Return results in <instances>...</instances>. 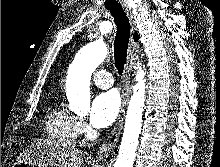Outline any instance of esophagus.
<instances>
[{"label":"esophagus","mask_w":220,"mask_h":167,"mask_svg":"<svg viewBox=\"0 0 220 167\" xmlns=\"http://www.w3.org/2000/svg\"><path fill=\"white\" fill-rule=\"evenodd\" d=\"M123 9L129 18V21L131 24V31L134 32L135 31V20H134L133 12L131 8L127 5H124ZM138 49H139V44L134 42L133 39H131L130 44H129L127 63L125 64V69L123 72L124 85H123V89L121 92V98H122L121 108H120L114 129L112 130L107 140L102 144V146L99 148V150L96 153V158L98 160L106 159L112 154V152L114 151L117 145L119 137L121 135L124 116H125V110H126V106L128 103V97H129L131 63L134 57L136 56Z\"/></svg>","instance_id":"34e87169"}]
</instances>
